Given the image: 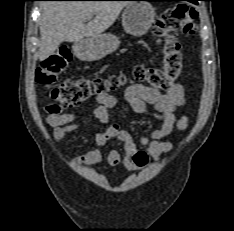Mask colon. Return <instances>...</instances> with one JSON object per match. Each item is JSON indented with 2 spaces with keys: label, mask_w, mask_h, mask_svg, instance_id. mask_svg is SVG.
I'll list each match as a JSON object with an SVG mask.
<instances>
[{
  "label": "colon",
  "mask_w": 234,
  "mask_h": 231,
  "mask_svg": "<svg viewBox=\"0 0 234 231\" xmlns=\"http://www.w3.org/2000/svg\"><path fill=\"white\" fill-rule=\"evenodd\" d=\"M196 11L187 4L174 5L157 18L155 35L162 43V65L160 67L137 66L134 69V79L149 86L167 91L181 78L183 72V56L177 40L179 32L192 35L196 27L194 19ZM70 61V52L63 49L47 58L36 73L39 84L50 87L52 98L57 107L62 110L73 109L89 99L105 94L123 84L121 77L67 79L53 87L57 75L61 73ZM133 160L138 166L147 161L143 151H137Z\"/></svg>",
  "instance_id": "1"
}]
</instances>
